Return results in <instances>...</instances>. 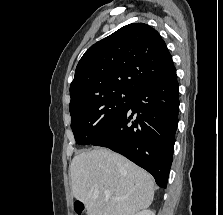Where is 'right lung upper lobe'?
Segmentation results:
<instances>
[{"label":"right lung upper lobe","mask_w":223,"mask_h":215,"mask_svg":"<svg viewBox=\"0 0 223 215\" xmlns=\"http://www.w3.org/2000/svg\"><path fill=\"white\" fill-rule=\"evenodd\" d=\"M176 73L159 33L144 23L126 25L92 45L70 85L69 110L109 93L140 88Z\"/></svg>","instance_id":"cb5924a9"}]
</instances>
